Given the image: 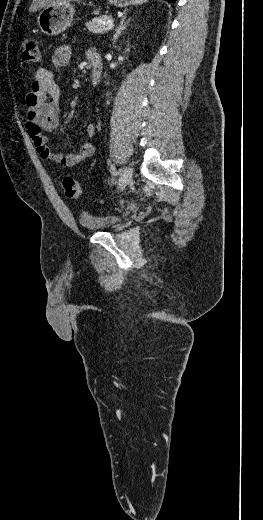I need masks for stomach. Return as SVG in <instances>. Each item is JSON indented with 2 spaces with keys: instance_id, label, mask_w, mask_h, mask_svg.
I'll list each match as a JSON object with an SVG mask.
<instances>
[{
  "instance_id": "stomach-1",
  "label": "stomach",
  "mask_w": 263,
  "mask_h": 520,
  "mask_svg": "<svg viewBox=\"0 0 263 520\" xmlns=\"http://www.w3.org/2000/svg\"><path fill=\"white\" fill-rule=\"evenodd\" d=\"M117 7L139 5L147 0H108ZM74 5L70 2L61 5L45 7L38 15L37 22L41 31L48 36H56L63 33L72 23L74 17Z\"/></svg>"
}]
</instances>
